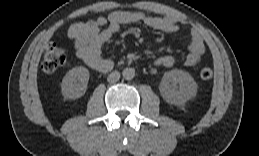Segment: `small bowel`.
Masks as SVG:
<instances>
[{
    "label": "small bowel",
    "instance_id": "small-bowel-1",
    "mask_svg": "<svg viewBox=\"0 0 259 156\" xmlns=\"http://www.w3.org/2000/svg\"><path fill=\"white\" fill-rule=\"evenodd\" d=\"M142 23L145 26L165 33L179 32L184 22L175 16H152L138 10H116L106 17L74 24L68 32L74 42L76 55L89 67L99 72H106L113 66L110 59L101 56V48L125 24ZM189 53L184 59V65H197L206 51L201 34L191 29L188 43ZM156 65L171 67L175 58L171 55H162L155 60Z\"/></svg>",
    "mask_w": 259,
    "mask_h": 156
}]
</instances>
